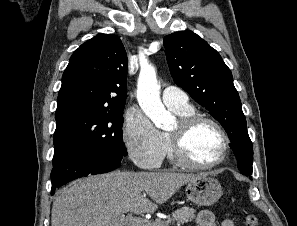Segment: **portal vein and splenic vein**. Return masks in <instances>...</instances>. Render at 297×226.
Returning <instances> with one entry per match:
<instances>
[{
  "label": "portal vein and splenic vein",
  "instance_id": "18ae733b",
  "mask_svg": "<svg viewBox=\"0 0 297 226\" xmlns=\"http://www.w3.org/2000/svg\"><path fill=\"white\" fill-rule=\"evenodd\" d=\"M115 222L117 224V226L119 224H126L128 226H150L153 222L141 218V217H135L132 214H128L127 216L120 215L119 217H117V219H115Z\"/></svg>",
  "mask_w": 297,
  "mask_h": 226
}]
</instances>
